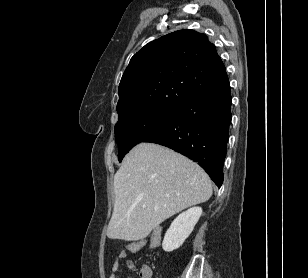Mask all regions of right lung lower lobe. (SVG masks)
Wrapping results in <instances>:
<instances>
[{
    "instance_id": "1",
    "label": "right lung lower lobe",
    "mask_w": 308,
    "mask_h": 278,
    "mask_svg": "<svg viewBox=\"0 0 308 278\" xmlns=\"http://www.w3.org/2000/svg\"><path fill=\"white\" fill-rule=\"evenodd\" d=\"M230 83L178 107L177 116L143 142L169 147L199 163L220 187L229 139Z\"/></svg>"
}]
</instances>
